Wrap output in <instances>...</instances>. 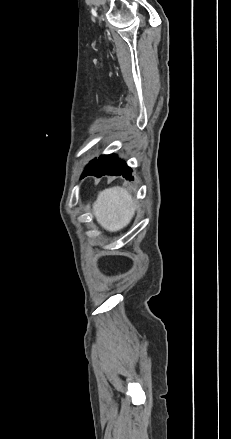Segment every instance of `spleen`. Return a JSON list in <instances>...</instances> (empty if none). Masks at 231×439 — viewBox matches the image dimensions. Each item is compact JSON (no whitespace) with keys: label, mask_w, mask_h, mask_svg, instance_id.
Returning a JSON list of instances; mask_svg holds the SVG:
<instances>
[{"label":"spleen","mask_w":231,"mask_h":439,"mask_svg":"<svg viewBox=\"0 0 231 439\" xmlns=\"http://www.w3.org/2000/svg\"><path fill=\"white\" fill-rule=\"evenodd\" d=\"M93 211L98 223L113 232L130 222L135 213V205L126 189L112 187L98 194Z\"/></svg>","instance_id":"1"}]
</instances>
